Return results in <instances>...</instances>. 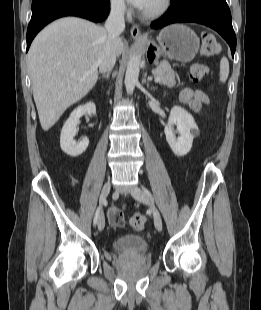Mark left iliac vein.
Listing matches in <instances>:
<instances>
[{"instance_id":"1","label":"left iliac vein","mask_w":261,"mask_h":310,"mask_svg":"<svg viewBox=\"0 0 261 310\" xmlns=\"http://www.w3.org/2000/svg\"><path fill=\"white\" fill-rule=\"evenodd\" d=\"M131 195L138 201L148 204L151 207V211L153 214L154 224L158 231L162 230V218L158 211V209L150 202L149 198L139 187H134L131 190Z\"/></svg>"}]
</instances>
